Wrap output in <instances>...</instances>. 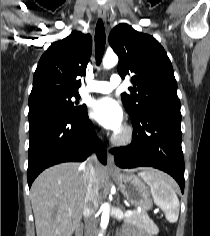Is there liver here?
Masks as SVG:
<instances>
[{
	"label": "liver",
	"mask_w": 210,
	"mask_h": 236,
	"mask_svg": "<svg viewBox=\"0 0 210 236\" xmlns=\"http://www.w3.org/2000/svg\"><path fill=\"white\" fill-rule=\"evenodd\" d=\"M95 172L101 189L107 169L97 163ZM87 185L85 166L71 162L50 167L35 179L30 197L37 236H70L78 228Z\"/></svg>",
	"instance_id": "liver-1"
}]
</instances>
